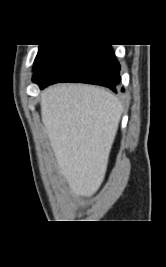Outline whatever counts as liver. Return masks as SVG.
Returning a JSON list of instances; mask_svg holds the SVG:
<instances>
[{
	"instance_id": "obj_1",
	"label": "liver",
	"mask_w": 166,
	"mask_h": 267,
	"mask_svg": "<svg viewBox=\"0 0 166 267\" xmlns=\"http://www.w3.org/2000/svg\"><path fill=\"white\" fill-rule=\"evenodd\" d=\"M41 118L72 195L91 197L108 165L122 105L100 87L58 84L41 95Z\"/></svg>"
}]
</instances>
